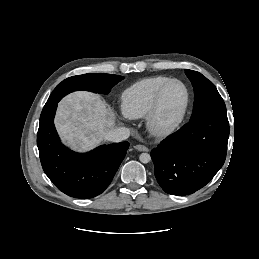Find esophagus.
<instances>
[{
    "label": "esophagus",
    "mask_w": 259,
    "mask_h": 259,
    "mask_svg": "<svg viewBox=\"0 0 259 259\" xmlns=\"http://www.w3.org/2000/svg\"><path fill=\"white\" fill-rule=\"evenodd\" d=\"M134 148L138 151L148 152L149 149L144 145H135Z\"/></svg>",
    "instance_id": "esophagus-1"
}]
</instances>
